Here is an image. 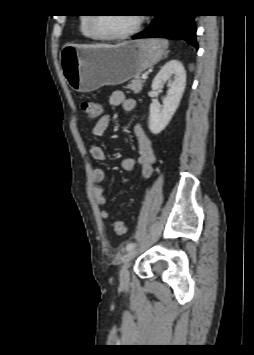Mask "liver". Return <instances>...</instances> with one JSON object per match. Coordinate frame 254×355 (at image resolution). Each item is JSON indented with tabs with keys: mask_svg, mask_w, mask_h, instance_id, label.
Here are the masks:
<instances>
[{
	"mask_svg": "<svg viewBox=\"0 0 254 355\" xmlns=\"http://www.w3.org/2000/svg\"><path fill=\"white\" fill-rule=\"evenodd\" d=\"M76 47H84V48H87V47H112L110 45H104V44H100V45H74Z\"/></svg>",
	"mask_w": 254,
	"mask_h": 355,
	"instance_id": "liver-1",
	"label": "liver"
}]
</instances>
